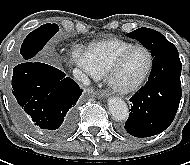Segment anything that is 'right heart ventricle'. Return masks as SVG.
Segmentation results:
<instances>
[{
	"mask_svg": "<svg viewBox=\"0 0 190 165\" xmlns=\"http://www.w3.org/2000/svg\"><path fill=\"white\" fill-rule=\"evenodd\" d=\"M132 45H134L132 42L119 38L106 39L88 45L86 52L98 77L105 76L117 56Z\"/></svg>",
	"mask_w": 190,
	"mask_h": 165,
	"instance_id": "e07e8e85",
	"label": "right heart ventricle"
}]
</instances>
